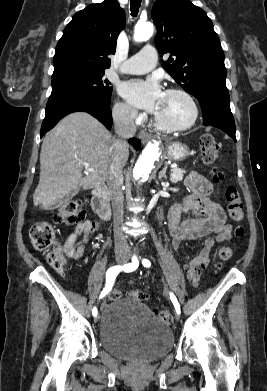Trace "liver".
Masks as SVG:
<instances>
[{"mask_svg":"<svg viewBox=\"0 0 267 391\" xmlns=\"http://www.w3.org/2000/svg\"><path fill=\"white\" fill-rule=\"evenodd\" d=\"M114 141L115 137L86 112L64 117L43 140L34 205L50 206L78 185L88 190L103 184L109 176ZM128 155L127 150L123 166ZM83 162L94 171H87L83 176Z\"/></svg>","mask_w":267,"mask_h":391,"instance_id":"liver-1","label":"liver"}]
</instances>
